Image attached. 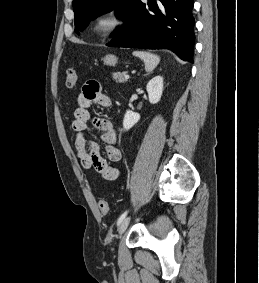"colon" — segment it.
Listing matches in <instances>:
<instances>
[{"instance_id":"1","label":"colon","mask_w":259,"mask_h":283,"mask_svg":"<svg viewBox=\"0 0 259 283\" xmlns=\"http://www.w3.org/2000/svg\"><path fill=\"white\" fill-rule=\"evenodd\" d=\"M77 83V73L74 68H69L66 71L65 75V85L69 89H73L76 86ZM98 207L101 213H107L108 212V203L105 199H101L98 202Z\"/></svg>"}]
</instances>
